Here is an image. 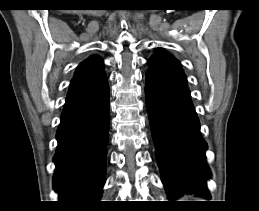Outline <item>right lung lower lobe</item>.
Returning a JSON list of instances; mask_svg holds the SVG:
<instances>
[{
    "mask_svg": "<svg viewBox=\"0 0 259 211\" xmlns=\"http://www.w3.org/2000/svg\"><path fill=\"white\" fill-rule=\"evenodd\" d=\"M109 129V87L67 100L57 130L54 189L59 201L100 199L105 183Z\"/></svg>",
    "mask_w": 259,
    "mask_h": 211,
    "instance_id": "obj_1",
    "label": "right lung lower lobe"
}]
</instances>
